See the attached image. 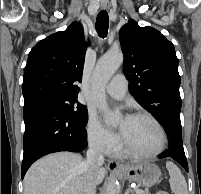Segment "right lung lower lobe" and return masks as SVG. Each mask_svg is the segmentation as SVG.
<instances>
[{
	"instance_id": "98d812e1",
	"label": "right lung lower lobe",
	"mask_w": 201,
	"mask_h": 194,
	"mask_svg": "<svg viewBox=\"0 0 201 194\" xmlns=\"http://www.w3.org/2000/svg\"><path fill=\"white\" fill-rule=\"evenodd\" d=\"M25 133L22 178L33 162L59 151L79 152L87 146L85 126L72 120L49 103L30 100L24 103Z\"/></svg>"
}]
</instances>
